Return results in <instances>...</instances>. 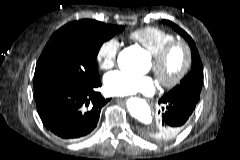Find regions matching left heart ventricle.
<instances>
[{
  "instance_id": "obj_1",
  "label": "left heart ventricle",
  "mask_w": 240,
  "mask_h": 160,
  "mask_svg": "<svg viewBox=\"0 0 240 160\" xmlns=\"http://www.w3.org/2000/svg\"><path fill=\"white\" fill-rule=\"evenodd\" d=\"M183 63V54L181 50L175 49L169 55L165 66L162 70V75L166 79L172 78L180 69ZM151 68H153V63L151 62Z\"/></svg>"
}]
</instances>
